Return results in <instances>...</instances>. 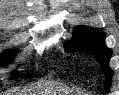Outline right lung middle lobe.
Segmentation results:
<instances>
[{"label": "right lung middle lobe", "instance_id": "right-lung-middle-lobe-1", "mask_svg": "<svg viewBox=\"0 0 119 95\" xmlns=\"http://www.w3.org/2000/svg\"><path fill=\"white\" fill-rule=\"evenodd\" d=\"M15 52L14 51H7L3 54H0V66H5L12 62L14 58ZM16 72L13 73L15 75Z\"/></svg>", "mask_w": 119, "mask_h": 95}]
</instances>
